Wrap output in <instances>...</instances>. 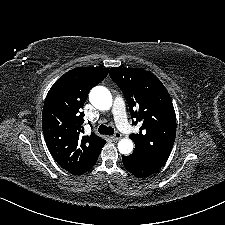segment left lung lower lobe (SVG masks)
<instances>
[{"mask_svg":"<svg viewBox=\"0 0 225 225\" xmlns=\"http://www.w3.org/2000/svg\"><path fill=\"white\" fill-rule=\"evenodd\" d=\"M122 160L125 168L138 178L148 177L161 168V166L145 162L141 158L133 156L132 154L129 156H123Z\"/></svg>","mask_w":225,"mask_h":225,"instance_id":"1","label":"left lung lower lobe"}]
</instances>
